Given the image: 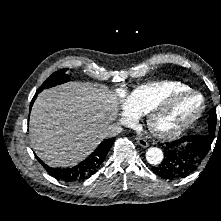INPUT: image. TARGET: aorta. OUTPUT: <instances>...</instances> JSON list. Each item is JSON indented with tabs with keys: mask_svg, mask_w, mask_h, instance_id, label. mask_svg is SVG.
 Masks as SVG:
<instances>
[{
	"mask_svg": "<svg viewBox=\"0 0 221 221\" xmlns=\"http://www.w3.org/2000/svg\"><path fill=\"white\" fill-rule=\"evenodd\" d=\"M163 152L157 147H151L146 151V160L152 165H158L163 160Z\"/></svg>",
	"mask_w": 221,
	"mask_h": 221,
	"instance_id": "obj_1",
	"label": "aorta"
}]
</instances>
